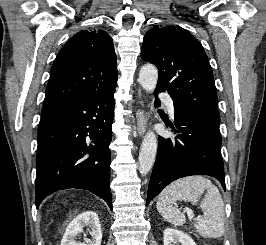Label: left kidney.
<instances>
[{"mask_svg": "<svg viewBox=\"0 0 266 245\" xmlns=\"http://www.w3.org/2000/svg\"><path fill=\"white\" fill-rule=\"evenodd\" d=\"M196 245L193 239L181 231L176 229H165L164 231V245Z\"/></svg>", "mask_w": 266, "mask_h": 245, "instance_id": "obj_1", "label": "left kidney"}]
</instances>
